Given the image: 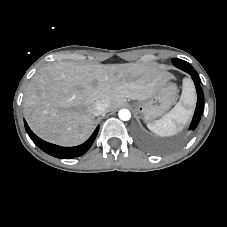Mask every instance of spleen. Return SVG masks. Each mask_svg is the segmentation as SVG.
I'll return each mask as SVG.
<instances>
[{
	"label": "spleen",
	"mask_w": 227,
	"mask_h": 227,
	"mask_svg": "<svg viewBox=\"0 0 227 227\" xmlns=\"http://www.w3.org/2000/svg\"><path fill=\"white\" fill-rule=\"evenodd\" d=\"M193 105V92L189 84L185 83L180 100L175 107L161 119L148 123V129L159 136H172L176 134L190 118V107Z\"/></svg>",
	"instance_id": "3e777b00"
}]
</instances>
